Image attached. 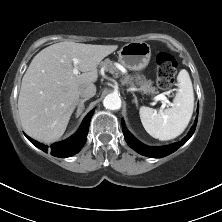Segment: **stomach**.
Segmentation results:
<instances>
[{
  "instance_id": "stomach-1",
  "label": "stomach",
  "mask_w": 222,
  "mask_h": 222,
  "mask_svg": "<svg viewBox=\"0 0 222 222\" xmlns=\"http://www.w3.org/2000/svg\"><path fill=\"white\" fill-rule=\"evenodd\" d=\"M118 54L119 61L124 67L132 71H140L150 61L151 47L144 41L130 42L125 44ZM137 80H140L139 76H137Z\"/></svg>"
}]
</instances>
